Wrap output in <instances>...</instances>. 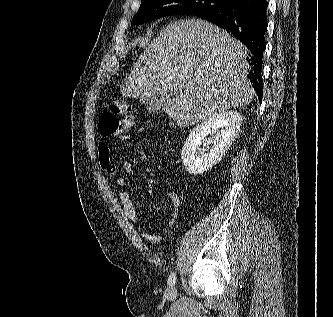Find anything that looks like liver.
<instances>
[{
  "mask_svg": "<svg viewBox=\"0 0 333 317\" xmlns=\"http://www.w3.org/2000/svg\"><path fill=\"white\" fill-rule=\"evenodd\" d=\"M247 55L248 49L223 29L200 19L178 20L144 50L121 95L166 96L167 115L192 126L252 101Z\"/></svg>",
  "mask_w": 333,
  "mask_h": 317,
  "instance_id": "1",
  "label": "liver"
}]
</instances>
